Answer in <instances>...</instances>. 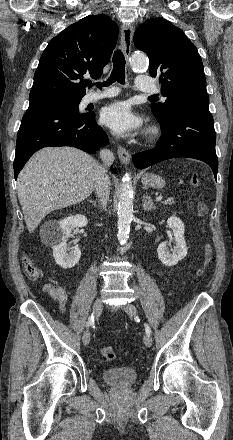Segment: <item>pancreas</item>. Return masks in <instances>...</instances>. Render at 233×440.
<instances>
[{"mask_svg":"<svg viewBox=\"0 0 233 440\" xmlns=\"http://www.w3.org/2000/svg\"><path fill=\"white\" fill-rule=\"evenodd\" d=\"M173 203H174V199L173 198H169V199H167L166 201L163 202V204H165V205H167V204L171 205Z\"/></svg>","mask_w":233,"mask_h":440,"instance_id":"pancreas-1","label":"pancreas"}]
</instances>
